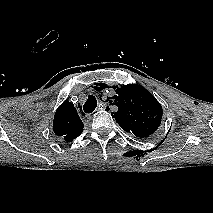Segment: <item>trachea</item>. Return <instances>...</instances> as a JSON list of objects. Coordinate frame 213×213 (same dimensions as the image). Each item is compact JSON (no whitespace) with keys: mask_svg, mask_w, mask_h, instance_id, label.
<instances>
[{"mask_svg":"<svg viewBox=\"0 0 213 213\" xmlns=\"http://www.w3.org/2000/svg\"><path fill=\"white\" fill-rule=\"evenodd\" d=\"M97 107V100L94 96L90 95L85 102L83 109L86 113H92Z\"/></svg>","mask_w":213,"mask_h":213,"instance_id":"obj_1","label":"trachea"}]
</instances>
